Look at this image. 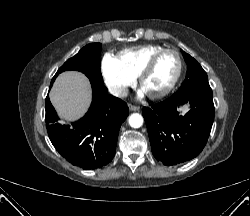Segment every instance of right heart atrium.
Wrapping results in <instances>:
<instances>
[{
	"label": "right heart atrium",
	"mask_w": 250,
	"mask_h": 216,
	"mask_svg": "<svg viewBox=\"0 0 250 216\" xmlns=\"http://www.w3.org/2000/svg\"><path fill=\"white\" fill-rule=\"evenodd\" d=\"M101 73L108 90L116 97H124L135 84V77L129 74L118 59L106 54L101 62Z\"/></svg>",
	"instance_id": "obj_1"
}]
</instances>
